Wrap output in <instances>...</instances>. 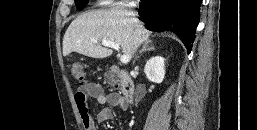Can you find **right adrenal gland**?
Returning <instances> with one entry per match:
<instances>
[{"instance_id":"1","label":"right adrenal gland","mask_w":257,"mask_h":130,"mask_svg":"<svg viewBox=\"0 0 257 130\" xmlns=\"http://www.w3.org/2000/svg\"><path fill=\"white\" fill-rule=\"evenodd\" d=\"M155 50L154 46L152 44H150V42H144L142 49L140 50V54L144 53V52H148V51H153ZM139 56L136 57V59H138Z\"/></svg>"}]
</instances>
